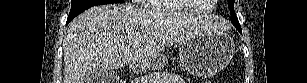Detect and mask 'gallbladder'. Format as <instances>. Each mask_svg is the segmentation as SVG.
I'll return each instance as SVG.
<instances>
[{
	"instance_id": "obj_1",
	"label": "gallbladder",
	"mask_w": 307,
	"mask_h": 83,
	"mask_svg": "<svg viewBox=\"0 0 307 83\" xmlns=\"http://www.w3.org/2000/svg\"><path fill=\"white\" fill-rule=\"evenodd\" d=\"M118 76L114 71L102 68L88 70L83 76V83H117Z\"/></svg>"
}]
</instances>
